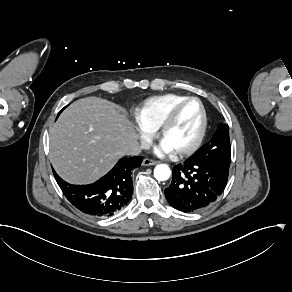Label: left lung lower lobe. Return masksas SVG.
<instances>
[{
	"mask_svg": "<svg viewBox=\"0 0 292 292\" xmlns=\"http://www.w3.org/2000/svg\"><path fill=\"white\" fill-rule=\"evenodd\" d=\"M230 162L205 161L192 155L173 168L172 182L165 189L167 201L185 213L203 210L223 192Z\"/></svg>",
	"mask_w": 292,
	"mask_h": 292,
	"instance_id": "obj_1",
	"label": "left lung lower lobe"
}]
</instances>
